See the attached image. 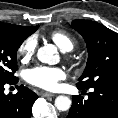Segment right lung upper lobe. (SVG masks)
Masks as SVG:
<instances>
[{"label":"right lung upper lobe","instance_id":"cb5924a9","mask_svg":"<svg viewBox=\"0 0 118 118\" xmlns=\"http://www.w3.org/2000/svg\"><path fill=\"white\" fill-rule=\"evenodd\" d=\"M9 25L15 28L20 33H23L27 36H30L31 34H33L39 27V26H18V25H13V24H9Z\"/></svg>","mask_w":118,"mask_h":118}]
</instances>
